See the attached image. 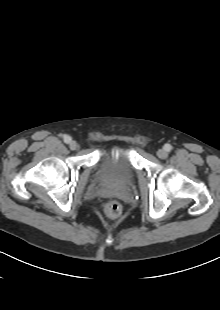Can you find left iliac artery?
Instances as JSON below:
<instances>
[{"mask_svg":"<svg viewBox=\"0 0 220 310\" xmlns=\"http://www.w3.org/2000/svg\"><path fill=\"white\" fill-rule=\"evenodd\" d=\"M164 149L167 151V152H170L172 150V146L170 144H165L164 145Z\"/></svg>","mask_w":220,"mask_h":310,"instance_id":"1","label":"left iliac artery"}]
</instances>
